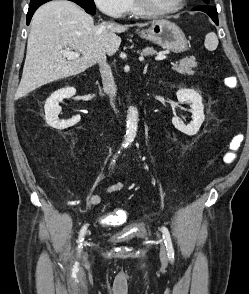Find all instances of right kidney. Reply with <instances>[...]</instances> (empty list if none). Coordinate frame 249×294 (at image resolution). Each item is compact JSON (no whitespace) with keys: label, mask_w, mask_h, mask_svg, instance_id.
Wrapping results in <instances>:
<instances>
[{"label":"right kidney","mask_w":249,"mask_h":294,"mask_svg":"<svg viewBox=\"0 0 249 294\" xmlns=\"http://www.w3.org/2000/svg\"><path fill=\"white\" fill-rule=\"evenodd\" d=\"M76 90L72 87H67L55 91L47 100L44 106L45 109V119L49 126L52 128L63 130L68 127L74 126L77 124L81 117L76 115L69 120H60L58 115L61 112V107L59 102L64 98H70L74 96Z\"/></svg>","instance_id":"1"}]
</instances>
